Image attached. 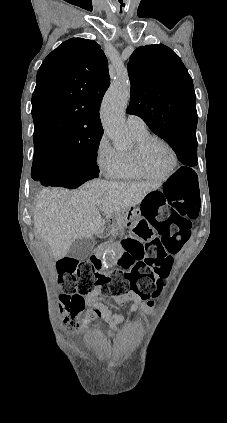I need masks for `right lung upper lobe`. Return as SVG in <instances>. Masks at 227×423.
Returning a JSON list of instances; mask_svg holds the SVG:
<instances>
[{
  "mask_svg": "<svg viewBox=\"0 0 227 423\" xmlns=\"http://www.w3.org/2000/svg\"><path fill=\"white\" fill-rule=\"evenodd\" d=\"M109 84L108 62L95 41L72 38L52 51L32 95L34 149L102 134L99 107Z\"/></svg>",
  "mask_w": 227,
  "mask_h": 423,
  "instance_id": "cb5924a9",
  "label": "right lung upper lobe"
}]
</instances>
